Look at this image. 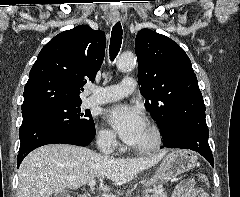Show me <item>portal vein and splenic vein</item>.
Instances as JSON below:
<instances>
[{
	"label": "portal vein and splenic vein",
	"instance_id": "1",
	"mask_svg": "<svg viewBox=\"0 0 240 197\" xmlns=\"http://www.w3.org/2000/svg\"><path fill=\"white\" fill-rule=\"evenodd\" d=\"M95 184H96V181H95L94 179H93V180H90L89 183H88V185H89L90 187H93Z\"/></svg>",
	"mask_w": 240,
	"mask_h": 197
}]
</instances>
